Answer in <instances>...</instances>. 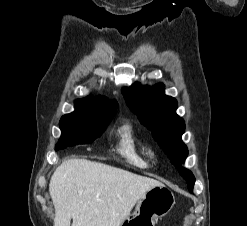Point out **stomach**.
Here are the masks:
<instances>
[{
    "label": "stomach",
    "mask_w": 247,
    "mask_h": 226,
    "mask_svg": "<svg viewBox=\"0 0 247 226\" xmlns=\"http://www.w3.org/2000/svg\"><path fill=\"white\" fill-rule=\"evenodd\" d=\"M174 204L173 192L163 184L156 185L142 195L133 214L120 226H155V220L168 214Z\"/></svg>",
    "instance_id": "0dacf381"
}]
</instances>
